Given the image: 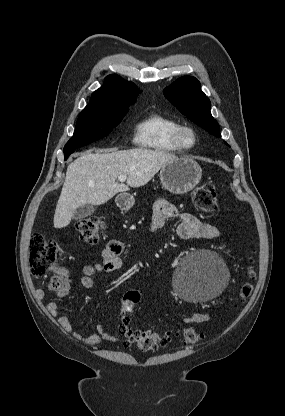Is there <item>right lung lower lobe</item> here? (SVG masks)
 <instances>
[{
    "mask_svg": "<svg viewBox=\"0 0 285 416\" xmlns=\"http://www.w3.org/2000/svg\"><path fill=\"white\" fill-rule=\"evenodd\" d=\"M73 153V151H67V152H65V160L68 158V156L70 155V154H72Z\"/></svg>",
    "mask_w": 285,
    "mask_h": 416,
    "instance_id": "1",
    "label": "right lung lower lobe"
}]
</instances>
